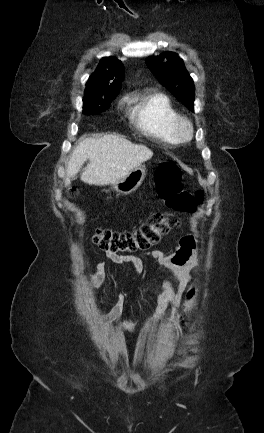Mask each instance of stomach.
Instances as JSON below:
<instances>
[{
    "label": "stomach",
    "mask_w": 264,
    "mask_h": 433,
    "mask_svg": "<svg viewBox=\"0 0 264 433\" xmlns=\"http://www.w3.org/2000/svg\"><path fill=\"white\" fill-rule=\"evenodd\" d=\"M146 167L139 165L133 169L128 175L121 178L113 184V189L120 194H130L134 192L142 183L145 178Z\"/></svg>",
    "instance_id": "stomach-1"
}]
</instances>
